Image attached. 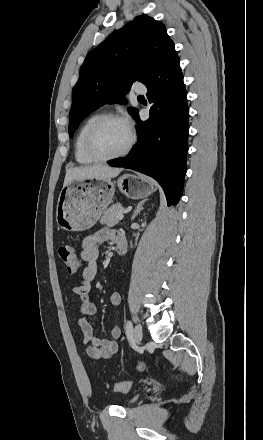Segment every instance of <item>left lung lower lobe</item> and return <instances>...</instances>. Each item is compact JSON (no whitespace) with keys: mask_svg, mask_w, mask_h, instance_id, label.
Masks as SVG:
<instances>
[{"mask_svg":"<svg viewBox=\"0 0 263 440\" xmlns=\"http://www.w3.org/2000/svg\"><path fill=\"white\" fill-rule=\"evenodd\" d=\"M153 105L150 117L141 121L137 114L138 142L132 151L108 162L113 167L132 169L154 178L162 186L168 206L179 201L186 173L189 109L180 60L160 69L145 84Z\"/></svg>","mask_w":263,"mask_h":440,"instance_id":"1","label":"left lung lower lobe"}]
</instances>
